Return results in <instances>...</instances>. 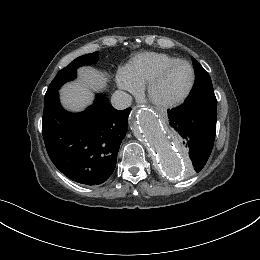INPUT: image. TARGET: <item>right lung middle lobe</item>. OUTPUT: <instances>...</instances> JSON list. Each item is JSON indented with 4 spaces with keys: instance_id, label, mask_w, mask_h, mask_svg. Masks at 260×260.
Segmentation results:
<instances>
[{
    "instance_id": "1",
    "label": "right lung middle lobe",
    "mask_w": 260,
    "mask_h": 260,
    "mask_svg": "<svg viewBox=\"0 0 260 260\" xmlns=\"http://www.w3.org/2000/svg\"><path fill=\"white\" fill-rule=\"evenodd\" d=\"M99 58V53L94 52L80 56L73 60L67 67L60 70L48 87L46 94L56 92L67 81L73 80L76 77V70L83 65L95 63Z\"/></svg>"
}]
</instances>
